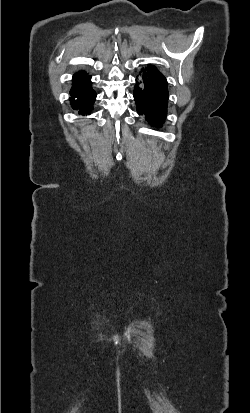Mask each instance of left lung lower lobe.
<instances>
[{"instance_id": "0a47b994", "label": "left lung lower lobe", "mask_w": 250, "mask_h": 413, "mask_svg": "<svg viewBox=\"0 0 250 413\" xmlns=\"http://www.w3.org/2000/svg\"><path fill=\"white\" fill-rule=\"evenodd\" d=\"M133 95L138 114L150 124L160 126L167 114L169 95L166 78L153 66L142 68Z\"/></svg>"}]
</instances>
